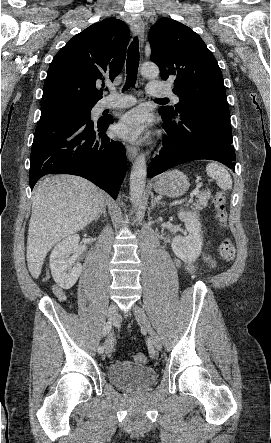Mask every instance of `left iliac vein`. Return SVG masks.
I'll use <instances>...</instances> for the list:
<instances>
[{
  "mask_svg": "<svg viewBox=\"0 0 271 443\" xmlns=\"http://www.w3.org/2000/svg\"><path fill=\"white\" fill-rule=\"evenodd\" d=\"M133 312H134V315H135V318H136L138 324H139L142 328H144L145 330H147L148 333L150 334L151 339H152V341H153V343H154L155 348H156L157 350H161V349H162V343H161V340H160L158 334H157V333L154 331V329L152 328V326H151V324H150V322H149V320H148V318H147V316H146L144 310H143L141 307H139L138 305H134V306H133Z\"/></svg>",
  "mask_w": 271,
  "mask_h": 443,
  "instance_id": "4c4485c4",
  "label": "left iliac vein"
}]
</instances>
